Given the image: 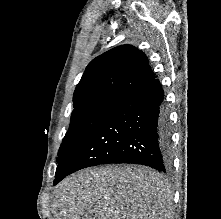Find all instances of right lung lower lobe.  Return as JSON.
<instances>
[{"label": "right lung lower lobe", "mask_w": 221, "mask_h": 219, "mask_svg": "<svg viewBox=\"0 0 221 219\" xmlns=\"http://www.w3.org/2000/svg\"><path fill=\"white\" fill-rule=\"evenodd\" d=\"M163 90L154 79L124 97L99 127L61 161L54 185L77 170L109 163H134L168 172L171 129Z\"/></svg>", "instance_id": "right-lung-lower-lobe-1"}]
</instances>
